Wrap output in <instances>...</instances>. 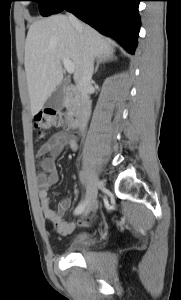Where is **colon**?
I'll use <instances>...</instances> for the list:
<instances>
[{"mask_svg":"<svg viewBox=\"0 0 181 300\" xmlns=\"http://www.w3.org/2000/svg\"><path fill=\"white\" fill-rule=\"evenodd\" d=\"M33 123L40 136L44 137L46 130L66 126V117L57 109L46 108L34 116Z\"/></svg>","mask_w":181,"mask_h":300,"instance_id":"5ec220e1","label":"colon"}]
</instances>
